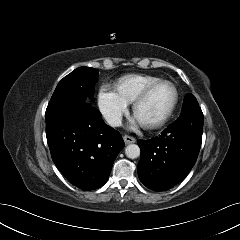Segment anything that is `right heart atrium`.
Returning <instances> with one entry per match:
<instances>
[{
	"label": "right heart atrium",
	"mask_w": 240,
	"mask_h": 240,
	"mask_svg": "<svg viewBox=\"0 0 240 240\" xmlns=\"http://www.w3.org/2000/svg\"><path fill=\"white\" fill-rule=\"evenodd\" d=\"M98 105L103 117L111 126L120 125L128 112V104L107 85L102 86L99 90Z\"/></svg>",
	"instance_id": "1"
}]
</instances>
